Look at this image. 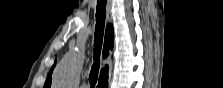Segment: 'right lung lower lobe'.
Wrapping results in <instances>:
<instances>
[{
  "label": "right lung lower lobe",
  "mask_w": 223,
  "mask_h": 88,
  "mask_svg": "<svg viewBox=\"0 0 223 88\" xmlns=\"http://www.w3.org/2000/svg\"><path fill=\"white\" fill-rule=\"evenodd\" d=\"M98 88H107V77H103L99 79Z\"/></svg>",
  "instance_id": "right-lung-lower-lobe-1"
}]
</instances>
